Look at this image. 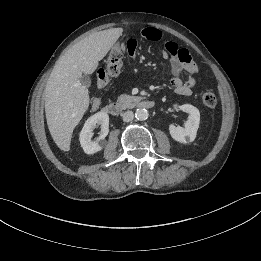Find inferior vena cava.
I'll list each match as a JSON object with an SVG mask.
<instances>
[{
	"mask_svg": "<svg viewBox=\"0 0 261 261\" xmlns=\"http://www.w3.org/2000/svg\"><path fill=\"white\" fill-rule=\"evenodd\" d=\"M122 118H123V121L124 122H129V121H132L133 118H134V114L132 111H126L122 114Z\"/></svg>",
	"mask_w": 261,
	"mask_h": 261,
	"instance_id": "obj_1",
	"label": "inferior vena cava"
}]
</instances>
